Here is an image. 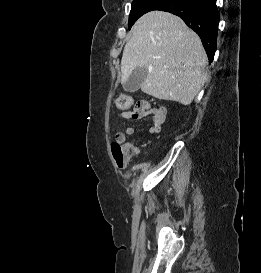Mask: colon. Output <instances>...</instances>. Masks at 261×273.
<instances>
[{
	"label": "colon",
	"mask_w": 261,
	"mask_h": 273,
	"mask_svg": "<svg viewBox=\"0 0 261 273\" xmlns=\"http://www.w3.org/2000/svg\"><path fill=\"white\" fill-rule=\"evenodd\" d=\"M115 104L119 109H131L132 119H139L144 116L143 101L135 103L133 98L129 95H121L115 99ZM111 152L115 164L118 167H124L129 159L130 146L124 144L122 135H116L111 143Z\"/></svg>",
	"instance_id": "colon-1"
}]
</instances>
